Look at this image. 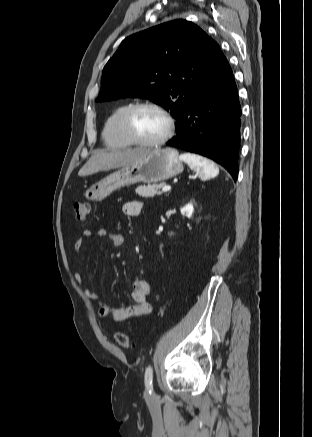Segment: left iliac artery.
Wrapping results in <instances>:
<instances>
[{
    "label": "left iliac artery",
    "instance_id": "44dca946",
    "mask_svg": "<svg viewBox=\"0 0 312 437\" xmlns=\"http://www.w3.org/2000/svg\"><path fill=\"white\" fill-rule=\"evenodd\" d=\"M153 368L149 365L145 371V385L149 393H152L153 390Z\"/></svg>",
    "mask_w": 312,
    "mask_h": 437
}]
</instances>
